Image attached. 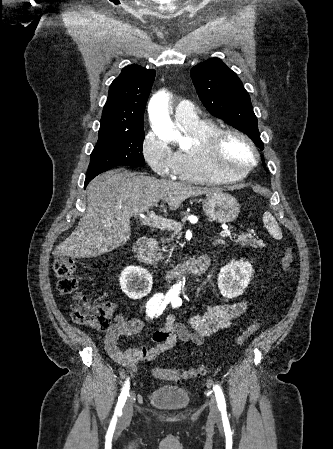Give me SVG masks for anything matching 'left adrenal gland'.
<instances>
[{"instance_id": "a2214340", "label": "left adrenal gland", "mask_w": 333, "mask_h": 449, "mask_svg": "<svg viewBox=\"0 0 333 449\" xmlns=\"http://www.w3.org/2000/svg\"><path fill=\"white\" fill-rule=\"evenodd\" d=\"M225 242H224V240H222V239H217L215 242H214V244L216 245V244H224Z\"/></svg>"}]
</instances>
